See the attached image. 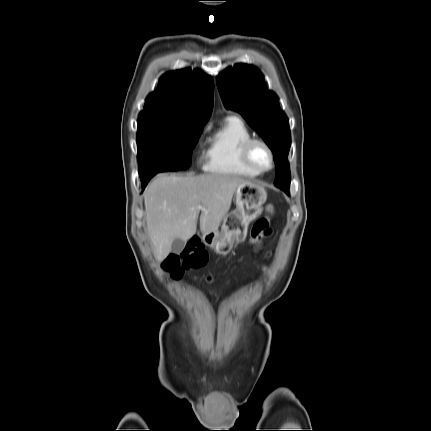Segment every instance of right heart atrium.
Returning a JSON list of instances; mask_svg holds the SVG:
<instances>
[{
    "mask_svg": "<svg viewBox=\"0 0 431 431\" xmlns=\"http://www.w3.org/2000/svg\"><path fill=\"white\" fill-rule=\"evenodd\" d=\"M197 145H200V140H198Z\"/></svg>",
    "mask_w": 431,
    "mask_h": 431,
    "instance_id": "right-heart-atrium-1",
    "label": "right heart atrium"
}]
</instances>
